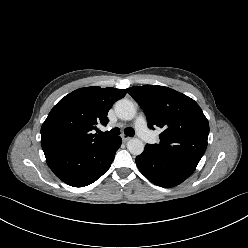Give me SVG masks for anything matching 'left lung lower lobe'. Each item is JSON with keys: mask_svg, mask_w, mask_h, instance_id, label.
<instances>
[{"mask_svg": "<svg viewBox=\"0 0 248 248\" xmlns=\"http://www.w3.org/2000/svg\"><path fill=\"white\" fill-rule=\"evenodd\" d=\"M140 172L155 185L174 187L186 180L196 169L197 163L170 157L145 146L136 157Z\"/></svg>", "mask_w": 248, "mask_h": 248, "instance_id": "1", "label": "left lung lower lobe"}]
</instances>
